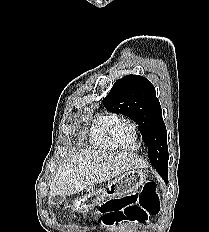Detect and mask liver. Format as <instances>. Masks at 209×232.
I'll return each instance as SVG.
<instances>
[{"label": "liver", "mask_w": 209, "mask_h": 232, "mask_svg": "<svg viewBox=\"0 0 209 232\" xmlns=\"http://www.w3.org/2000/svg\"><path fill=\"white\" fill-rule=\"evenodd\" d=\"M146 167L136 155L125 152L83 150L72 155L55 173L50 184V197L69 196L87 185L109 181L127 171Z\"/></svg>", "instance_id": "6515ba94"}]
</instances>
